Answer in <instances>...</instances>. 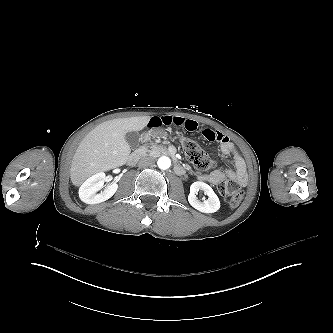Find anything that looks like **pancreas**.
Returning <instances> with one entry per match:
<instances>
[{
  "mask_svg": "<svg viewBox=\"0 0 333 333\" xmlns=\"http://www.w3.org/2000/svg\"><path fill=\"white\" fill-rule=\"evenodd\" d=\"M144 155L158 158L161 155H169V150L165 143L150 142L144 149Z\"/></svg>",
  "mask_w": 333,
  "mask_h": 333,
  "instance_id": "pancreas-1",
  "label": "pancreas"
}]
</instances>
